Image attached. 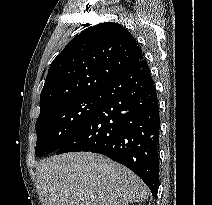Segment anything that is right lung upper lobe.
I'll return each mask as SVG.
<instances>
[{
	"label": "right lung upper lobe",
	"instance_id": "right-lung-upper-lobe-1",
	"mask_svg": "<svg viewBox=\"0 0 212 205\" xmlns=\"http://www.w3.org/2000/svg\"><path fill=\"white\" fill-rule=\"evenodd\" d=\"M143 59L135 38L112 22L89 27L53 60L40 95V115L75 97L100 92Z\"/></svg>",
	"mask_w": 212,
	"mask_h": 205
}]
</instances>
